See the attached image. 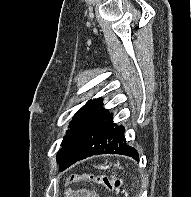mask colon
<instances>
[{"label": "colon", "instance_id": "colon-1", "mask_svg": "<svg viewBox=\"0 0 191 197\" xmlns=\"http://www.w3.org/2000/svg\"><path fill=\"white\" fill-rule=\"evenodd\" d=\"M67 182L99 184L111 189H119L122 186V180L119 177L106 174H72L67 177Z\"/></svg>", "mask_w": 191, "mask_h": 197}]
</instances>
